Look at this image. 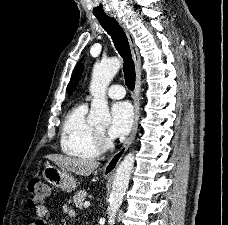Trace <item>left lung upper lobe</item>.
Returning <instances> with one entry per match:
<instances>
[{
  "instance_id": "obj_1",
  "label": "left lung upper lobe",
  "mask_w": 228,
  "mask_h": 225,
  "mask_svg": "<svg viewBox=\"0 0 228 225\" xmlns=\"http://www.w3.org/2000/svg\"><path fill=\"white\" fill-rule=\"evenodd\" d=\"M74 74H75V71H74V73H73V75H72V79H73V77H74ZM72 79H71V81H72ZM70 84H71V82L69 83V86H70ZM69 86H68V88H69Z\"/></svg>"
}]
</instances>
